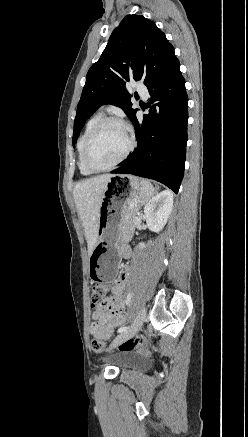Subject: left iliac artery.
I'll return each mask as SVG.
<instances>
[{
	"label": "left iliac artery",
	"instance_id": "left-iliac-artery-1",
	"mask_svg": "<svg viewBox=\"0 0 248 437\" xmlns=\"http://www.w3.org/2000/svg\"><path fill=\"white\" fill-rule=\"evenodd\" d=\"M132 295H133L132 292H129L128 295H127V298H126V304H127L128 306H130V302H131ZM128 329H130L129 326H122V327H120V328L118 329V333H123V332L127 331Z\"/></svg>",
	"mask_w": 248,
	"mask_h": 437
}]
</instances>
